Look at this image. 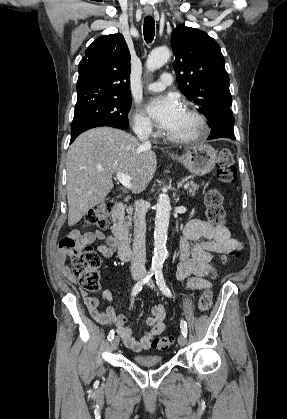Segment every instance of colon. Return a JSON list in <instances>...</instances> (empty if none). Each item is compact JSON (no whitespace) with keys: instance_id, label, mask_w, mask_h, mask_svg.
<instances>
[{"instance_id":"5ec220e1","label":"colon","mask_w":287,"mask_h":419,"mask_svg":"<svg viewBox=\"0 0 287 419\" xmlns=\"http://www.w3.org/2000/svg\"><path fill=\"white\" fill-rule=\"evenodd\" d=\"M217 177L224 183H234L237 180V169L232 152L223 149L219 152L217 159ZM207 206V216L214 225H222L225 221V211L223 208V196L215 189L207 192L205 198ZM114 201L105 199L91 209L85 219L86 225L97 227L107 226L112 217ZM61 251L71 259L72 274L78 279L79 285L86 291L96 292L99 290V276L97 269L100 266L98 254L82 240L79 234H70L62 238L59 245ZM240 249L235 247L231 250L230 256L237 257ZM213 292L205 290L199 299V309L203 312L208 311L212 306ZM174 337L161 336L153 339L152 348L164 351L171 347Z\"/></svg>"}]
</instances>
